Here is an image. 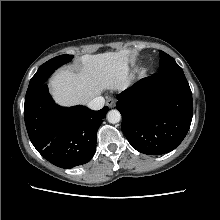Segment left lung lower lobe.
<instances>
[{
	"instance_id": "obj_1",
	"label": "left lung lower lobe",
	"mask_w": 220,
	"mask_h": 220,
	"mask_svg": "<svg viewBox=\"0 0 220 220\" xmlns=\"http://www.w3.org/2000/svg\"><path fill=\"white\" fill-rule=\"evenodd\" d=\"M117 99L122 132L141 153L159 155L174 150L190 128L193 101L183 71L146 77Z\"/></svg>"
}]
</instances>
